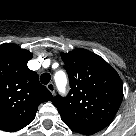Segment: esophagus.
I'll use <instances>...</instances> for the list:
<instances>
[{"label": "esophagus", "instance_id": "obj_1", "mask_svg": "<svg viewBox=\"0 0 136 136\" xmlns=\"http://www.w3.org/2000/svg\"><path fill=\"white\" fill-rule=\"evenodd\" d=\"M46 87L53 95L55 94V85L52 82L48 83Z\"/></svg>", "mask_w": 136, "mask_h": 136}]
</instances>
